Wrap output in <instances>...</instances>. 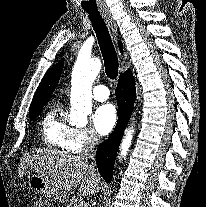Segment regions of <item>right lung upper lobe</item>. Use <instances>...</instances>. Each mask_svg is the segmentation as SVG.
Instances as JSON below:
<instances>
[{"instance_id": "1", "label": "right lung upper lobe", "mask_w": 206, "mask_h": 207, "mask_svg": "<svg viewBox=\"0 0 206 207\" xmlns=\"http://www.w3.org/2000/svg\"><path fill=\"white\" fill-rule=\"evenodd\" d=\"M119 49L122 52V43L118 42ZM64 65V59H61L53 68H51L43 77L37 91L34 95L30 109L45 105L51 98V95L56 88Z\"/></svg>"}]
</instances>
